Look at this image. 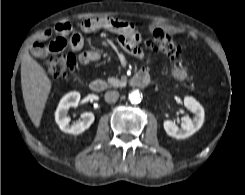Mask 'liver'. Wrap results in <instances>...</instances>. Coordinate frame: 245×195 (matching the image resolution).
<instances>
[{
	"label": "liver",
	"mask_w": 245,
	"mask_h": 195,
	"mask_svg": "<svg viewBox=\"0 0 245 195\" xmlns=\"http://www.w3.org/2000/svg\"><path fill=\"white\" fill-rule=\"evenodd\" d=\"M21 86L27 113L38 128L52 83L43 67L28 52L21 63Z\"/></svg>",
	"instance_id": "6515ba94"
}]
</instances>
